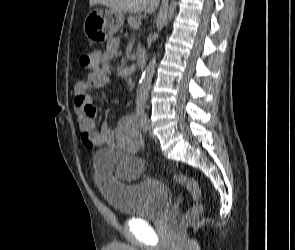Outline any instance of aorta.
Instances as JSON below:
<instances>
[{
  "label": "aorta",
  "instance_id": "aorta-1",
  "mask_svg": "<svg viewBox=\"0 0 295 250\" xmlns=\"http://www.w3.org/2000/svg\"><path fill=\"white\" fill-rule=\"evenodd\" d=\"M176 6H177L176 0H172L168 9V15L163 19L164 25H167L168 20L172 19L176 10ZM155 67H156V55H153L148 66L145 68L139 83L137 96H136V104L138 107H143L146 103L152 78L155 72Z\"/></svg>",
  "mask_w": 295,
  "mask_h": 250
}]
</instances>
